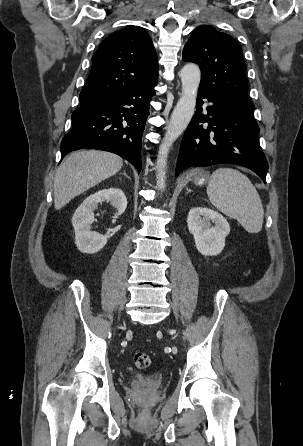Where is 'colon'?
Returning <instances> with one entry per match:
<instances>
[{"label": "colon", "mask_w": 303, "mask_h": 446, "mask_svg": "<svg viewBox=\"0 0 303 446\" xmlns=\"http://www.w3.org/2000/svg\"><path fill=\"white\" fill-rule=\"evenodd\" d=\"M133 362L138 369H147L151 364V359L148 354L137 351L133 356Z\"/></svg>", "instance_id": "colon-1"}]
</instances>
